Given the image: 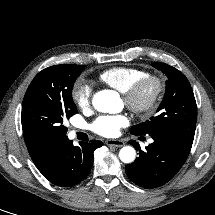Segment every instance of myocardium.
<instances>
[{
	"mask_svg": "<svg viewBox=\"0 0 215 215\" xmlns=\"http://www.w3.org/2000/svg\"><path fill=\"white\" fill-rule=\"evenodd\" d=\"M147 88H151V94L146 100H143L141 95ZM164 91L165 81L161 76L146 74L123 93V99L132 112L142 117H148L157 109Z\"/></svg>",
	"mask_w": 215,
	"mask_h": 215,
	"instance_id": "f54148a6",
	"label": "myocardium"
}]
</instances>
